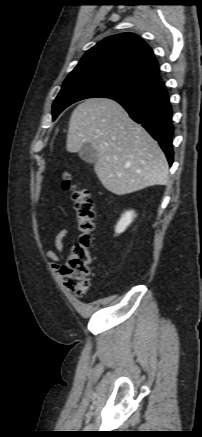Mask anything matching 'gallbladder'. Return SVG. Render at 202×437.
<instances>
[{
  "label": "gallbladder",
  "mask_w": 202,
  "mask_h": 437,
  "mask_svg": "<svg viewBox=\"0 0 202 437\" xmlns=\"http://www.w3.org/2000/svg\"><path fill=\"white\" fill-rule=\"evenodd\" d=\"M79 156L83 161L89 164H94L97 160L96 150L92 144L88 142L82 145L81 149L79 150Z\"/></svg>",
  "instance_id": "1"
}]
</instances>
